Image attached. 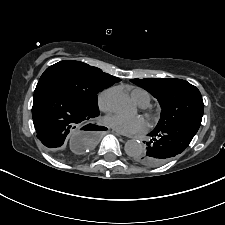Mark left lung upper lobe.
<instances>
[{"label":"left lung upper lobe","mask_w":225,"mask_h":225,"mask_svg":"<svg viewBox=\"0 0 225 225\" xmlns=\"http://www.w3.org/2000/svg\"><path fill=\"white\" fill-rule=\"evenodd\" d=\"M159 101L162 112L155 130L185 121H202L204 104L199 90L189 82L174 78L131 79Z\"/></svg>","instance_id":"5c2ea615"}]
</instances>
